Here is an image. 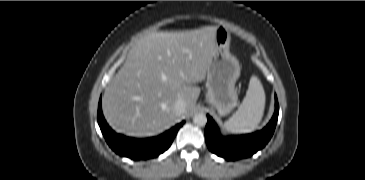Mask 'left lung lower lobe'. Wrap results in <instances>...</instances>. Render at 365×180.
Listing matches in <instances>:
<instances>
[{
  "label": "left lung lower lobe",
  "instance_id": "0a47b994",
  "mask_svg": "<svg viewBox=\"0 0 365 180\" xmlns=\"http://www.w3.org/2000/svg\"><path fill=\"white\" fill-rule=\"evenodd\" d=\"M279 114V105L275 96V112L268 125L261 131L242 135L223 137L214 120L208 115L205 128V140L210 151L227 160L246 158L263 148L272 137Z\"/></svg>",
  "mask_w": 365,
  "mask_h": 180
}]
</instances>
